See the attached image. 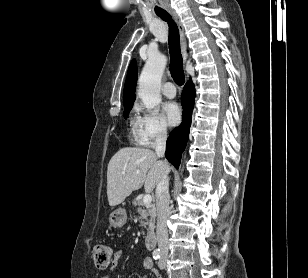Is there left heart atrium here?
<instances>
[{
  "label": "left heart atrium",
  "mask_w": 308,
  "mask_h": 278,
  "mask_svg": "<svg viewBox=\"0 0 308 278\" xmlns=\"http://www.w3.org/2000/svg\"><path fill=\"white\" fill-rule=\"evenodd\" d=\"M166 122L170 126H175L181 121V109L174 102H168L163 107Z\"/></svg>",
  "instance_id": "1"
}]
</instances>
